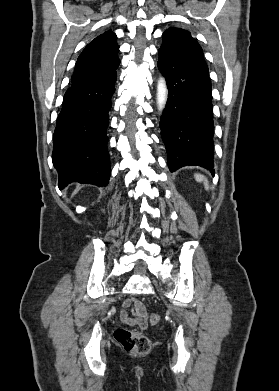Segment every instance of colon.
I'll use <instances>...</instances> for the list:
<instances>
[{
  "label": "colon",
  "mask_w": 279,
  "mask_h": 391,
  "mask_svg": "<svg viewBox=\"0 0 279 391\" xmlns=\"http://www.w3.org/2000/svg\"><path fill=\"white\" fill-rule=\"evenodd\" d=\"M159 320L160 317L157 314L150 316V322L152 324L157 323ZM114 337L122 348L128 352L143 355L148 353L151 348L150 340L139 332L119 328L114 332Z\"/></svg>",
  "instance_id": "colon-1"
}]
</instances>
